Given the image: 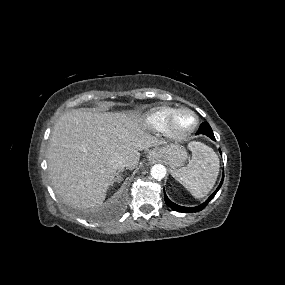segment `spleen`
Segmentation results:
<instances>
[{"label": "spleen", "mask_w": 285, "mask_h": 285, "mask_svg": "<svg viewBox=\"0 0 285 285\" xmlns=\"http://www.w3.org/2000/svg\"><path fill=\"white\" fill-rule=\"evenodd\" d=\"M192 158L186 167L174 169L173 177L195 198H203L213 188L218 173L219 159L212 148L200 142H191Z\"/></svg>", "instance_id": "3e777b00"}]
</instances>
